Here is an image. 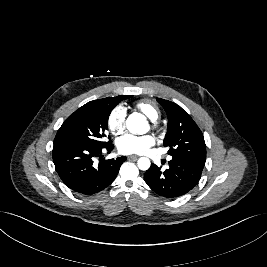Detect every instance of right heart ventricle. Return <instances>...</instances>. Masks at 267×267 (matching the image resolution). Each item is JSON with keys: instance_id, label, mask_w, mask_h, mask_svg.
<instances>
[{"instance_id": "1", "label": "right heart ventricle", "mask_w": 267, "mask_h": 267, "mask_svg": "<svg viewBox=\"0 0 267 267\" xmlns=\"http://www.w3.org/2000/svg\"><path fill=\"white\" fill-rule=\"evenodd\" d=\"M135 107L153 122L160 116L159 108L150 100L138 101Z\"/></svg>"}]
</instances>
